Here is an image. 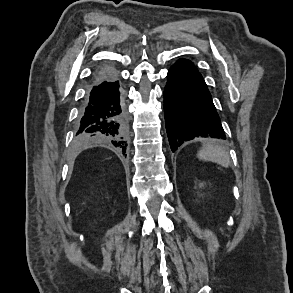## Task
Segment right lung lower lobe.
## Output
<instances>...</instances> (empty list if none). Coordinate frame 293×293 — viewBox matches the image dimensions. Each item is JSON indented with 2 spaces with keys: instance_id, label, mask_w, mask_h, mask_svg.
Wrapping results in <instances>:
<instances>
[{
  "instance_id": "98d812e1",
  "label": "right lung lower lobe",
  "mask_w": 293,
  "mask_h": 293,
  "mask_svg": "<svg viewBox=\"0 0 293 293\" xmlns=\"http://www.w3.org/2000/svg\"><path fill=\"white\" fill-rule=\"evenodd\" d=\"M127 115L116 72L103 67L94 76L79 112L76 136L80 143L113 144L126 156Z\"/></svg>"
}]
</instances>
